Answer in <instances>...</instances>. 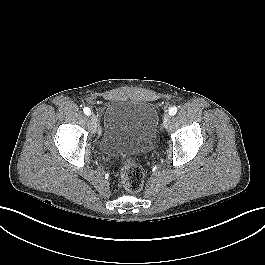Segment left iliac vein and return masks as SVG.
<instances>
[{
	"label": "left iliac vein",
	"instance_id": "obj_1",
	"mask_svg": "<svg viewBox=\"0 0 265 265\" xmlns=\"http://www.w3.org/2000/svg\"><path fill=\"white\" fill-rule=\"evenodd\" d=\"M170 120H171L170 114H165L164 117H163V126L165 128H168V126L170 124Z\"/></svg>",
	"mask_w": 265,
	"mask_h": 265
}]
</instances>
